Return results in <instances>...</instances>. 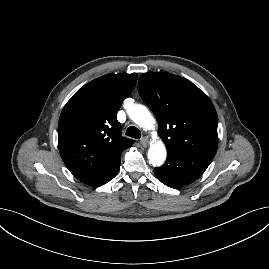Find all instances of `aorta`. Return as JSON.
<instances>
[{"label":"aorta","mask_w":269,"mask_h":269,"mask_svg":"<svg viewBox=\"0 0 269 269\" xmlns=\"http://www.w3.org/2000/svg\"><path fill=\"white\" fill-rule=\"evenodd\" d=\"M126 111L130 119L139 127L144 128L145 130L154 129L155 120L144 105L133 104L127 107ZM147 157L150 164L153 166L159 167L163 165L167 157V150L164 143L161 140H158L151 144Z\"/></svg>","instance_id":"obj_1"}]
</instances>
